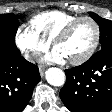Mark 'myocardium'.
Listing matches in <instances>:
<instances>
[{
    "label": "myocardium",
    "mask_w": 112,
    "mask_h": 112,
    "mask_svg": "<svg viewBox=\"0 0 112 112\" xmlns=\"http://www.w3.org/2000/svg\"><path fill=\"white\" fill-rule=\"evenodd\" d=\"M82 21H89L93 28H94V39L92 41V44L90 45V47L88 48V50L79 58L77 59H73V60H69L68 62L72 65H81L83 63H85L86 61H88L92 55L95 53L99 42H100V37H101V29L100 26L98 24V22L90 17V16H81V17H77L76 19H74L73 21H71L70 23H68L66 26H64L52 39L51 41V47L53 49H55V46L63 41L64 39H66L68 37V35L70 34V32L74 29V27L82 22Z\"/></svg>",
    "instance_id": "1"
}]
</instances>
